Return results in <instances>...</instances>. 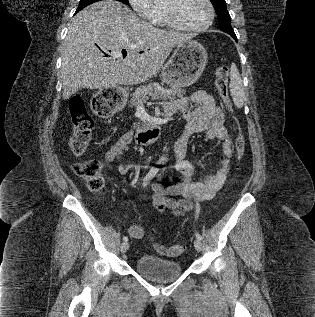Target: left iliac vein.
Here are the masks:
<instances>
[{
  "label": "left iliac vein",
  "instance_id": "obj_1",
  "mask_svg": "<svg viewBox=\"0 0 315 317\" xmlns=\"http://www.w3.org/2000/svg\"><path fill=\"white\" fill-rule=\"evenodd\" d=\"M194 247H195V249H196L198 252H200V251L202 250V242H201V240L196 239V240L194 241Z\"/></svg>",
  "mask_w": 315,
  "mask_h": 317
}]
</instances>
